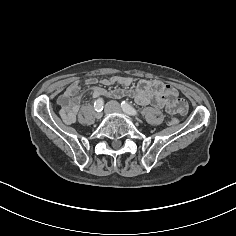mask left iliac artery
Wrapping results in <instances>:
<instances>
[{"instance_id":"44dca946","label":"left iliac artery","mask_w":236,"mask_h":236,"mask_svg":"<svg viewBox=\"0 0 236 236\" xmlns=\"http://www.w3.org/2000/svg\"><path fill=\"white\" fill-rule=\"evenodd\" d=\"M121 107L124 112H126L127 114H129L131 116H138L139 115L137 110L134 107H132L130 104H128L126 101H122Z\"/></svg>"}]
</instances>
